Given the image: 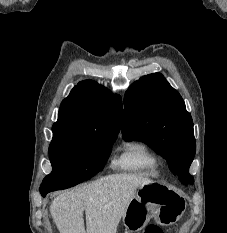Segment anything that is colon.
<instances>
[{
	"label": "colon",
	"instance_id": "colon-1",
	"mask_svg": "<svg viewBox=\"0 0 227 233\" xmlns=\"http://www.w3.org/2000/svg\"><path fill=\"white\" fill-rule=\"evenodd\" d=\"M144 233H163V231L154 225L147 226Z\"/></svg>",
	"mask_w": 227,
	"mask_h": 233
}]
</instances>
